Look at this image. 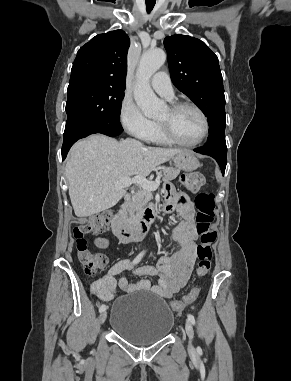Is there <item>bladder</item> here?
Returning a JSON list of instances; mask_svg holds the SVG:
<instances>
[{"instance_id":"1","label":"bladder","mask_w":291,"mask_h":381,"mask_svg":"<svg viewBox=\"0 0 291 381\" xmlns=\"http://www.w3.org/2000/svg\"><path fill=\"white\" fill-rule=\"evenodd\" d=\"M174 315L165 300L129 292L111 305L110 328L126 341L147 346L164 339L172 330Z\"/></svg>"}]
</instances>
